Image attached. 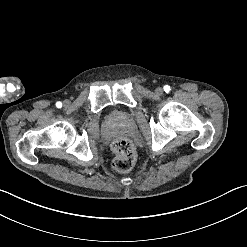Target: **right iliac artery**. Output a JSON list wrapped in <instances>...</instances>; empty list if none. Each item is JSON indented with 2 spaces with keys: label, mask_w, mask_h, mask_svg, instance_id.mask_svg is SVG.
<instances>
[{
  "label": "right iliac artery",
  "mask_w": 247,
  "mask_h": 247,
  "mask_svg": "<svg viewBox=\"0 0 247 247\" xmlns=\"http://www.w3.org/2000/svg\"><path fill=\"white\" fill-rule=\"evenodd\" d=\"M56 106H57V108H61L62 107V103L61 102H57Z\"/></svg>",
  "instance_id": "1"
}]
</instances>
